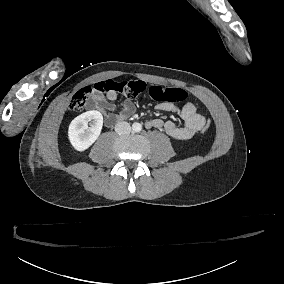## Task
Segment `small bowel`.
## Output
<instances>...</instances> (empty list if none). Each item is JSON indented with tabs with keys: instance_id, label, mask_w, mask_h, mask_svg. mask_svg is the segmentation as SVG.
<instances>
[{
	"instance_id": "obj_1",
	"label": "small bowel",
	"mask_w": 284,
	"mask_h": 284,
	"mask_svg": "<svg viewBox=\"0 0 284 284\" xmlns=\"http://www.w3.org/2000/svg\"><path fill=\"white\" fill-rule=\"evenodd\" d=\"M117 93L109 92L106 97L96 96L92 101V107L100 110L111 111L113 105L111 102L117 99ZM156 108L160 111L173 112L178 114L183 120V125H177L172 121L162 119H153L146 123L147 128H162L168 136L176 140H188L201 130L206 122L205 116L198 112L192 103H187L183 107H177L171 103H159ZM135 104L127 99L122 103L120 112L121 117H127L134 113Z\"/></svg>"
}]
</instances>
